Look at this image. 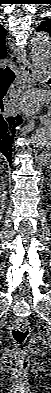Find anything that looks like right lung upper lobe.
Returning a JSON list of instances; mask_svg holds the SVG:
<instances>
[{"instance_id":"obj_1","label":"right lung upper lobe","mask_w":51,"mask_h":393,"mask_svg":"<svg viewBox=\"0 0 51 393\" xmlns=\"http://www.w3.org/2000/svg\"><path fill=\"white\" fill-rule=\"evenodd\" d=\"M7 31L0 26V59L6 57L7 55V50H6V45H5V36H6ZM2 68H0V71Z\"/></svg>"}]
</instances>
